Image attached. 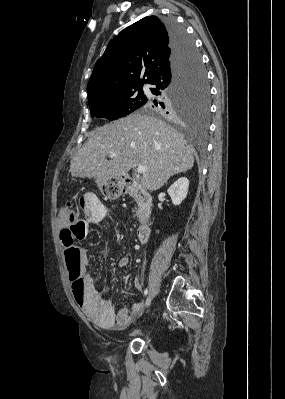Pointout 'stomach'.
Listing matches in <instances>:
<instances>
[{"instance_id":"1","label":"stomach","mask_w":285,"mask_h":399,"mask_svg":"<svg viewBox=\"0 0 285 399\" xmlns=\"http://www.w3.org/2000/svg\"><path fill=\"white\" fill-rule=\"evenodd\" d=\"M101 193L110 200L118 199L124 190V180L121 177L96 180Z\"/></svg>"}]
</instances>
